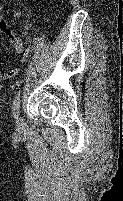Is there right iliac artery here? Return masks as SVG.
<instances>
[{
    "label": "right iliac artery",
    "instance_id": "obj_1",
    "mask_svg": "<svg viewBox=\"0 0 123 201\" xmlns=\"http://www.w3.org/2000/svg\"><path fill=\"white\" fill-rule=\"evenodd\" d=\"M20 91L17 93L14 103H13V115L17 119L19 116V109H20Z\"/></svg>",
    "mask_w": 123,
    "mask_h": 201
}]
</instances>
